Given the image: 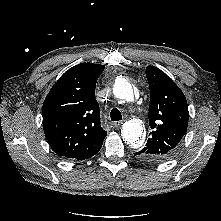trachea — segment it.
<instances>
[{
    "mask_svg": "<svg viewBox=\"0 0 221 221\" xmlns=\"http://www.w3.org/2000/svg\"><path fill=\"white\" fill-rule=\"evenodd\" d=\"M110 117L112 121L122 120V114L117 108H113L110 112Z\"/></svg>",
    "mask_w": 221,
    "mask_h": 221,
    "instance_id": "3493384b",
    "label": "trachea"
}]
</instances>
